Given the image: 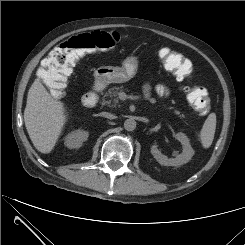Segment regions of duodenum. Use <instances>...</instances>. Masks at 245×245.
I'll return each instance as SVG.
<instances>
[{"label": "duodenum", "instance_id": "obj_1", "mask_svg": "<svg viewBox=\"0 0 245 245\" xmlns=\"http://www.w3.org/2000/svg\"><path fill=\"white\" fill-rule=\"evenodd\" d=\"M101 90H102L101 83L96 82L93 86V89L82 96L81 98L82 106L86 108L93 107L98 102V95Z\"/></svg>", "mask_w": 245, "mask_h": 245}]
</instances>
